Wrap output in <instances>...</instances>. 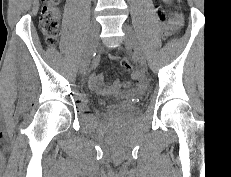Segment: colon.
<instances>
[{
	"label": "colon",
	"instance_id": "obj_1",
	"mask_svg": "<svg viewBox=\"0 0 231 177\" xmlns=\"http://www.w3.org/2000/svg\"><path fill=\"white\" fill-rule=\"evenodd\" d=\"M60 0H42L43 7L40 16V28L45 37L46 42L49 45L55 44L60 27V14L57 5ZM177 7L179 0H165ZM159 17L162 22L165 21V17L162 12H159ZM178 21V19H176ZM116 59H119L116 57ZM120 66L125 71L132 69V64L128 58L119 59Z\"/></svg>",
	"mask_w": 231,
	"mask_h": 177
}]
</instances>
